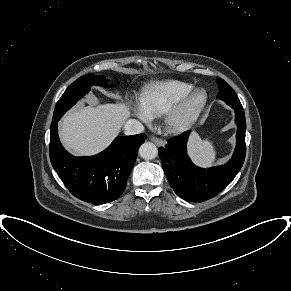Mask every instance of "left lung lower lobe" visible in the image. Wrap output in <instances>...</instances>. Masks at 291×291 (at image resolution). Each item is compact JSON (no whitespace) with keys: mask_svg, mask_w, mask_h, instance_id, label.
Segmentation results:
<instances>
[{"mask_svg":"<svg viewBox=\"0 0 291 291\" xmlns=\"http://www.w3.org/2000/svg\"><path fill=\"white\" fill-rule=\"evenodd\" d=\"M237 124L236 148L230 161L222 166L200 168L187 155L186 144L190 132L172 138L159 149L162 168L174 192L190 202H202L219 194L240 171L246 153V120L242 105L232 107Z\"/></svg>","mask_w":291,"mask_h":291,"instance_id":"obj_1","label":"left lung lower lobe"}]
</instances>
